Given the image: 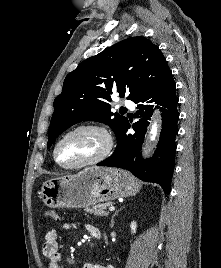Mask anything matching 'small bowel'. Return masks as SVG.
<instances>
[{"instance_id": "c3829d8e", "label": "small bowel", "mask_w": 221, "mask_h": 268, "mask_svg": "<svg viewBox=\"0 0 221 268\" xmlns=\"http://www.w3.org/2000/svg\"><path fill=\"white\" fill-rule=\"evenodd\" d=\"M63 227L65 229H69L71 225L65 224ZM85 228L90 236L94 238L100 236L98 228L94 225L87 224ZM42 253L48 261V268H62L59 247V233L57 230L50 229L45 233ZM83 268H113V266L100 263H86Z\"/></svg>"}]
</instances>
